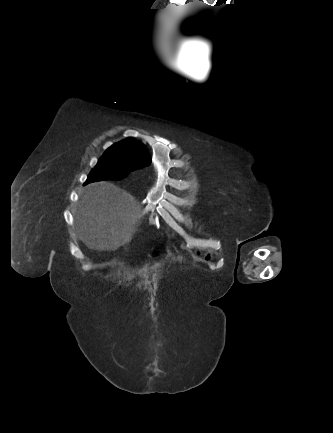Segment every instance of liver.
Listing matches in <instances>:
<instances>
[{
  "label": "liver",
  "mask_w": 333,
  "mask_h": 433,
  "mask_svg": "<svg viewBox=\"0 0 333 433\" xmlns=\"http://www.w3.org/2000/svg\"><path fill=\"white\" fill-rule=\"evenodd\" d=\"M140 213L130 193L109 182H97L80 193L75 226L89 249L115 251L132 240Z\"/></svg>",
  "instance_id": "obj_1"
}]
</instances>
